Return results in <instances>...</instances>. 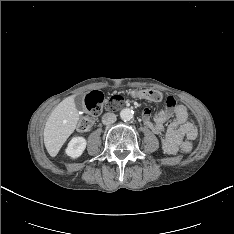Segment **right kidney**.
Segmentation results:
<instances>
[{"label": "right kidney", "mask_w": 234, "mask_h": 234, "mask_svg": "<svg viewBox=\"0 0 234 234\" xmlns=\"http://www.w3.org/2000/svg\"><path fill=\"white\" fill-rule=\"evenodd\" d=\"M86 145L87 142L84 137L78 136L72 138L71 141L68 143L65 153L72 158H78L84 152Z\"/></svg>", "instance_id": "1"}]
</instances>
